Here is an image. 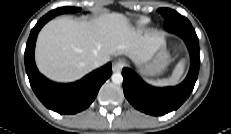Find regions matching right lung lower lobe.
Segmentation results:
<instances>
[{
    "mask_svg": "<svg viewBox=\"0 0 231 134\" xmlns=\"http://www.w3.org/2000/svg\"><path fill=\"white\" fill-rule=\"evenodd\" d=\"M53 16L45 15L31 30L24 54L26 73L39 100L49 109L60 114H75L89 107L102 84L111 76V63L94 70L81 80L56 83L41 75L34 59L35 43L42 26Z\"/></svg>",
    "mask_w": 231,
    "mask_h": 134,
    "instance_id": "98d812e1",
    "label": "right lung lower lobe"
}]
</instances>
